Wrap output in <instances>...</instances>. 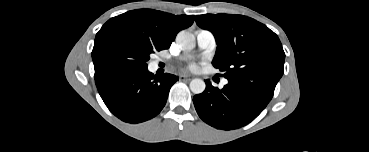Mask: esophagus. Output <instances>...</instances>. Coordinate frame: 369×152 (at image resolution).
Wrapping results in <instances>:
<instances>
[{
	"label": "esophagus",
	"mask_w": 369,
	"mask_h": 152,
	"mask_svg": "<svg viewBox=\"0 0 369 152\" xmlns=\"http://www.w3.org/2000/svg\"><path fill=\"white\" fill-rule=\"evenodd\" d=\"M191 79H192V77L190 75H187V74L180 75V80H182V81H189Z\"/></svg>",
	"instance_id": "obj_1"
}]
</instances>
